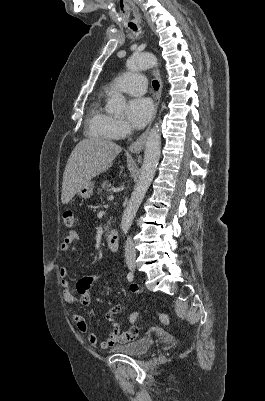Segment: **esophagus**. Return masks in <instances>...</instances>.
Instances as JSON below:
<instances>
[{
	"mask_svg": "<svg viewBox=\"0 0 265 401\" xmlns=\"http://www.w3.org/2000/svg\"><path fill=\"white\" fill-rule=\"evenodd\" d=\"M153 75L155 76V78H157V80L159 82V89H158V91L156 93V98H155V102H154V115H153L152 120L155 118V115L157 113L159 102H160V98H161V93H162V89H163V81H162V78H161L159 70H157V69L153 70ZM152 120L149 123L148 128L146 129V131L136 141H134V143H132V145H130L129 150L132 153H140L143 150L146 138L148 136L149 129H150L151 124H152Z\"/></svg>",
	"mask_w": 265,
	"mask_h": 401,
	"instance_id": "obj_1",
	"label": "esophagus"
}]
</instances>
